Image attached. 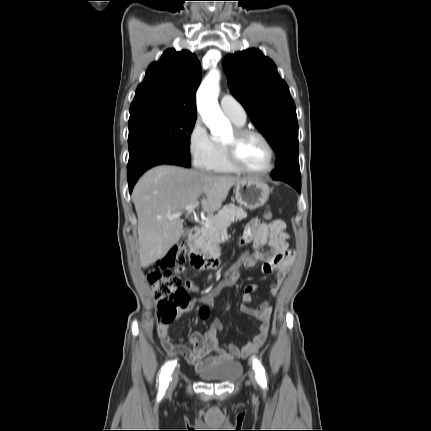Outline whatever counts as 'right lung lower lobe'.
Wrapping results in <instances>:
<instances>
[{"label":"right lung lower lobe","instance_id":"98d812e1","mask_svg":"<svg viewBox=\"0 0 431 431\" xmlns=\"http://www.w3.org/2000/svg\"><path fill=\"white\" fill-rule=\"evenodd\" d=\"M159 164H174L190 167V160L163 145H148L129 156L127 166V177L129 192L137 182L138 178L149 168Z\"/></svg>","mask_w":431,"mask_h":431}]
</instances>
